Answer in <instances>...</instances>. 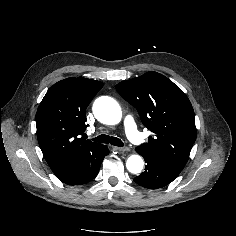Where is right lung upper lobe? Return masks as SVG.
<instances>
[{"label": "right lung upper lobe", "mask_w": 236, "mask_h": 236, "mask_svg": "<svg viewBox=\"0 0 236 236\" xmlns=\"http://www.w3.org/2000/svg\"><path fill=\"white\" fill-rule=\"evenodd\" d=\"M103 83L87 78H67L55 83L36 113L37 138L45 160L56 176L64 174L80 156L103 145L85 140V110Z\"/></svg>", "instance_id": "obj_1"}]
</instances>
